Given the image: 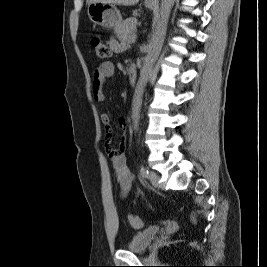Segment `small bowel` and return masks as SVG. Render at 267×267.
I'll return each mask as SVG.
<instances>
[{"label": "small bowel", "instance_id": "c3829d8e", "mask_svg": "<svg viewBox=\"0 0 267 267\" xmlns=\"http://www.w3.org/2000/svg\"><path fill=\"white\" fill-rule=\"evenodd\" d=\"M109 44L114 51H121L124 48V46L115 39H111ZM113 74L114 65L111 62H103L94 70L92 95L96 101L100 102L105 99L104 84L106 80ZM100 120L106 130L105 145L116 172V178L121 189V196L126 197L135 180L134 174L127 166V158L124 153L123 146L126 139L127 121L124 117L118 118V126L121 130V145L119 148H113L111 146L112 131L110 125V116L107 113H102Z\"/></svg>", "mask_w": 267, "mask_h": 267}]
</instances>
